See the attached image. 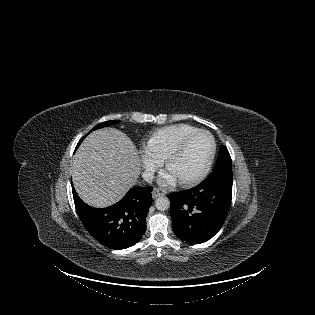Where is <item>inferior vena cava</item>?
<instances>
[{
  "label": "inferior vena cava",
  "mask_w": 315,
  "mask_h": 315,
  "mask_svg": "<svg viewBox=\"0 0 315 315\" xmlns=\"http://www.w3.org/2000/svg\"><path fill=\"white\" fill-rule=\"evenodd\" d=\"M142 177H143L145 182L151 183L154 179V174L152 172L146 171V172L142 173Z\"/></svg>",
  "instance_id": "1"
}]
</instances>
